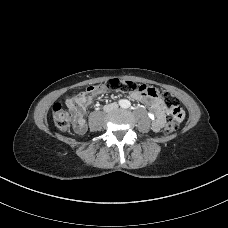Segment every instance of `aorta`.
<instances>
[{
	"label": "aorta",
	"mask_w": 228,
	"mask_h": 228,
	"mask_svg": "<svg viewBox=\"0 0 228 228\" xmlns=\"http://www.w3.org/2000/svg\"><path fill=\"white\" fill-rule=\"evenodd\" d=\"M125 108H128L130 106V102L128 100L124 101V105Z\"/></svg>",
	"instance_id": "obj_1"
}]
</instances>
